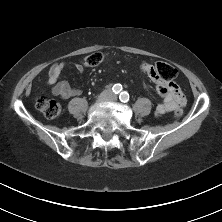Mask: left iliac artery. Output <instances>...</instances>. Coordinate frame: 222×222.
<instances>
[{"mask_svg":"<svg viewBox=\"0 0 222 222\" xmlns=\"http://www.w3.org/2000/svg\"><path fill=\"white\" fill-rule=\"evenodd\" d=\"M119 99L121 102L126 103L129 101V94L126 91L122 92L119 96Z\"/></svg>","mask_w":222,"mask_h":222,"instance_id":"1","label":"left iliac artery"}]
</instances>
